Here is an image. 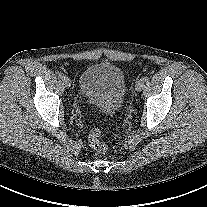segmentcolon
I'll return each instance as SVG.
<instances>
[{"label": "colon", "mask_w": 207, "mask_h": 207, "mask_svg": "<svg viewBox=\"0 0 207 207\" xmlns=\"http://www.w3.org/2000/svg\"><path fill=\"white\" fill-rule=\"evenodd\" d=\"M88 143L90 147L100 155H103L107 151V145L101 139V131L98 129L92 130L88 137Z\"/></svg>", "instance_id": "1"}]
</instances>
